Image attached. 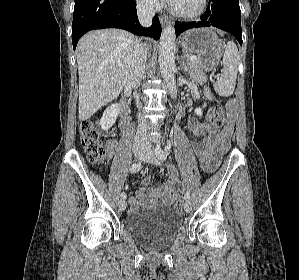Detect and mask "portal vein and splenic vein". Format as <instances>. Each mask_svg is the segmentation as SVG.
Returning <instances> with one entry per match:
<instances>
[{
	"label": "portal vein and splenic vein",
	"mask_w": 299,
	"mask_h": 280,
	"mask_svg": "<svg viewBox=\"0 0 299 280\" xmlns=\"http://www.w3.org/2000/svg\"><path fill=\"white\" fill-rule=\"evenodd\" d=\"M188 60H189V61H195V60H197V58L194 57V56H191V57L188 58Z\"/></svg>",
	"instance_id": "portal-vein-and-splenic-vein-1"
}]
</instances>
